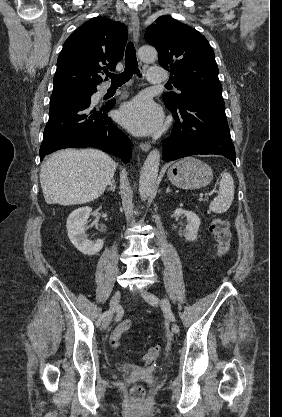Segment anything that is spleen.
Wrapping results in <instances>:
<instances>
[{"label":"spleen","mask_w":282,"mask_h":417,"mask_svg":"<svg viewBox=\"0 0 282 417\" xmlns=\"http://www.w3.org/2000/svg\"><path fill=\"white\" fill-rule=\"evenodd\" d=\"M234 180L230 172H223L219 182L218 196L211 200L209 209L213 213H226L234 198Z\"/></svg>","instance_id":"obj_1"}]
</instances>
